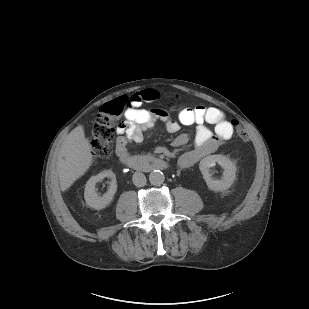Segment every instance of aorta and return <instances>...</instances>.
I'll return each instance as SVG.
<instances>
[{"mask_svg": "<svg viewBox=\"0 0 309 309\" xmlns=\"http://www.w3.org/2000/svg\"><path fill=\"white\" fill-rule=\"evenodd\" d=\"M164 180L165 176L160 170H154L149 175V181L152 185L159 186L164 182Z\"/></svg>", "mask_w": 309, "mask_h": 309, "instance_id": "obj_1", "label": "aorta"}]
</instances>
